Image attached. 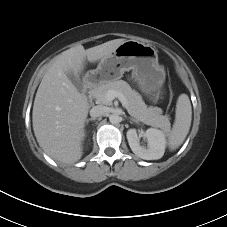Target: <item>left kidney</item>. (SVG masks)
Listing matches in <instances>:
<instances>
[{
	"instance_id": "obj_1",
	"label": "left kidney",
	"mask_w": 227,
	"mask_h": 227,
	"mask_svg": "<svg viewBox=\"0 0 227 227\" xmlns=\"http://www.w3.org/2000/svg\"><path fill=\"white\" fill-rule=\"evenodd\" d=\"M126 136L131 150L138 157L145 160H157L164 155L166 137L163 131L155 128L146 130L143 136L147 139V148L140 145L136 129H129Z\"/></svg>"
}]
</instances>
